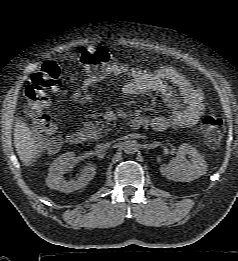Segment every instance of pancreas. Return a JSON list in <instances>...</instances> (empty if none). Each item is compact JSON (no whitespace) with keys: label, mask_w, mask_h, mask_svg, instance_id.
Masks as SVG:
<instances>
[{"label":"pancreas","mask_w":238,"mask_h":261,"mask_svg":"<svg viewBox=\"0 0 238 261\" xmlns=\"http://www.w3.org/2000/svg\"><path fill=\"white\" fill-rule=\"evenodd\" d=\"M106 123L102 120L88 121L84 123V133L89 139L97 140L103 137V133H107L110 129H105Z\"/></svg>","instance_id":"pancreas-1"}]
</instances>
